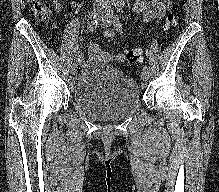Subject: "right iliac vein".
<instances>
[{
    "instance_id": "obj_1",
    "label": "right iliac vein",
    "mask_w": 219,
    "mask_h": 192,
    "mask_svg": "<svg viewBox=\"0 0 219 192\" xmlns=\"http://www.w3.org/2000/svg\"><path fill=\"white\" fill-rule=\"evenodd\" d=\"M92 14H93V16H94L95 18H99L100 16H102L103 11H102L101 8L97 7V8L94 9V11H93ZM77 69H78V64H77L76 62H74V63L71 65V69H70L71 74H72V75H75L76 72H77Z\"/></svg>"
}]
</instances>
